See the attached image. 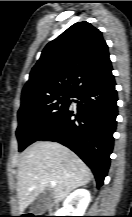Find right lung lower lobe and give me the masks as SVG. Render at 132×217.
<instances>
[{"mask_svg": "<svg viewBox=\"0 0 132 217\" xmlns=\"http://www.w3.org/2000/svg\"><path fill=\"white\" fill-rule=\"evenodd\" d=\"M77 109L70 106L39 140L63 144L92 170L97 187L103 185L110 165L116 128L117 92L114 77L74 94Z\"/></svg>", "mask_w": 132, "mask_h": 217, "instance_id": "98d812e1", "label": "right lung lower lobe"}]
</instances>
